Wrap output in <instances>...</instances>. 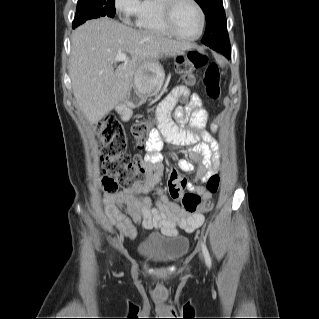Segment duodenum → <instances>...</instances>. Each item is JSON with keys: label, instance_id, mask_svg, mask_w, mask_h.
<instances>
[{"label": "duodenum", "instance_id": "410a0bca", "mask_svg": "<svg viewBox=\"0 0 319 319\" xmlns=\"http://www.w3.org/2000/svg\"><path fill=\"white\" fill-rule=\"evenodd\" d=\"M133 109V105L130 102L121 104L118 107V113L122 119H126L130 116L131 110Z\"/></svg>", "mask_w": 319, "mask_h": 319}]
</instances>
